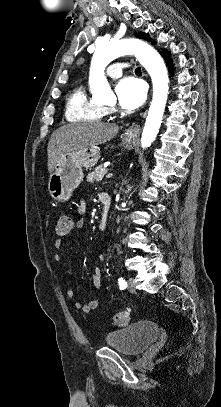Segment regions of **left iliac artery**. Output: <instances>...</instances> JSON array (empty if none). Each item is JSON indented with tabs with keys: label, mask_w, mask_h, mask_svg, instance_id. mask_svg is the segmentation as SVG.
<instances>
[{
	"label": "left iliac artery",
	"mask_w": 221,
	"mask_h": 407,
	"mask_svg": "<svg viewBox=\"0 0 221 407\" xmlns=\"http://www.w3.org/2000/svg\"><path fill=\"white\" fill-rule=\"evenodd\" d=\"M118 283H119V288L121 290H123L127 287V282L125 280H123V278L118 279Z\"/></svg>",
	"instance_id": "44dca946"
}]
</instances>
